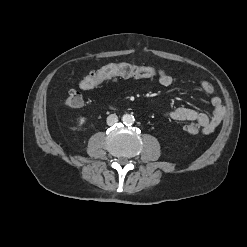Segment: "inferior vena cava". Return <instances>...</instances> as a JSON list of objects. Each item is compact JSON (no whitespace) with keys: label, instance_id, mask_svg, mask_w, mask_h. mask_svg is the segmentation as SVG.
Returning <instances> with one entry per match:
<instances>
[{"label":"inferior vena cava","instance_id":"obj_1","mask_svg":"<svg viewBox=\"0 0 247 247\" xmlns=\"http://www.w3.org/2000/svg\"><path fill=\"white\" fill-rule=\"evenodd\" d=\"M116 122H118V117L116 114H111L107 117V124L109 126H112L113 124H115Z\"/></svg>","mask_w":247,"mask_h":247}]
</instances>
